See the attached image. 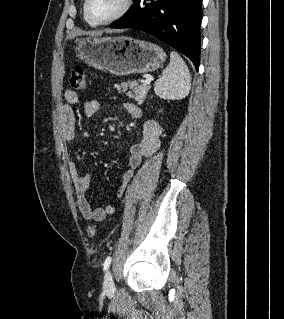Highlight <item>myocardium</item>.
<instances>
[{"instance_id": "1", "label": "myocardium", "mask_w": 284, "mask_h": 319, "mask_svg": "<svg viewBox=\"0 0 284 319\" xmlns=\"http://www.w3.org/2000/svg\"><path fill=\"white\" fill-rule=\"evenodd\" d=\"M132 4H133V0H122L119 9L114 15H112L111 17L105 20H95L89 14V10H88L89 0H84L83 12H84L85 18L92 25H95V26L108 25L122 18L130 10Z\"/></svg>"}]
</instances>
